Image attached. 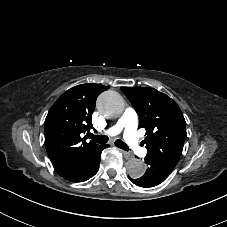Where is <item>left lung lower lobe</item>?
<instances>
[{"instance_id": "obj_1", "label": "left lung lower lobe", "mask_w": 227, "mask_h": 227, "mask_svg": "<svg viewBox=\"0 0 227 227\" xmlns=\"http://www.w3.org/2000/svg\"><path fill=\"white\" fill-rule=\"evenodd\" d=\"M145 162L148 164V169L146 170L145 174L138 178L132 179L128 176V178L136 185L141 187H153L161 182H163L169 174L172 172V169L161 165L159 162L148 159L145 157Z\"/></svg>"}]
</instances>
